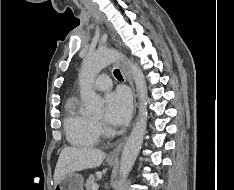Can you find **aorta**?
I'll return each instance as SVG.
<instances>
[{
    "mask_svg": "<svg viewBox=\"0 0 234 190\" xmlns=\"http://www.w3.org/2000/svg\"><path fill=\"white\" fill-rule=\"evenodd\" d=\"M122 55L110 48L99 49L88 54L82 63L79 75L81 98L85 103L87 113L99 112L102 106V98L94 91L93 81L98 73L107 65L116 61ZM130 70L135 81L139 98V112L137 121L126 141L121 155L120 181L117 190H121L124 180L131 171L141 149L147 123V84L142 70L129 61Z\"/></svg>",
    "mask_w": 234,
    "mask_h": 190,
    "instance_id": "aorta-1",
    "label": "aorta"
}]
</instances>
